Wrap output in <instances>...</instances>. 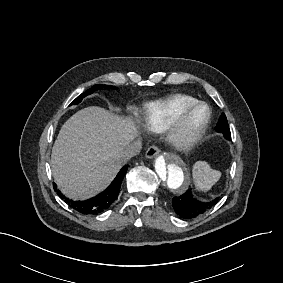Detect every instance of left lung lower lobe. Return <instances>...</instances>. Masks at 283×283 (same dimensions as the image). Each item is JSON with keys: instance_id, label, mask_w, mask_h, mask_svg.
<instances>
[{"instance_id": "left-lung-lower-lobe-1", "label": "left lung lower lobe", "mask_w": 283, "mask_h": 283, "mask_svg": "<svg viewBox=\"0 0 283 283\" xmlns=\"http://www.w3.org/2000/svg\"><path fill=\"white\" fill-rule=\"evenodd\" d=\"M216 131L222 133L226 140H231L229 125L224 113H222L219 118ZM218 200L219 198L206 203L200 202L193 197L192 191L188 190L181 196L174 197L172 205L178 215L185 219H191L210 210Z\"/></svg>"}]
</instances>
